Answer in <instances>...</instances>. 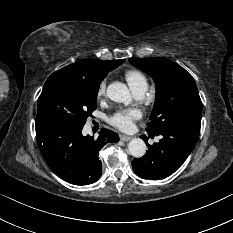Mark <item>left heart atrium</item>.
I'll return each instance as SVG.
<instances>
[{"label": "left heart atrium", "instance_id": "obj_1", "mask_svg": "<svg viewBox=\"0 0 233 233\" xmlns=\"http://www.w3.org/2000/svg\"><path fill=\"white\" fill-rule=\"evenodd\" d=\"M141 117V112L137 108L118 110L109 117V122L121 129L130 130L134 126V121Z\"/></svg>", "mask_w": 233, "mask_h": 233}]
</instances>
